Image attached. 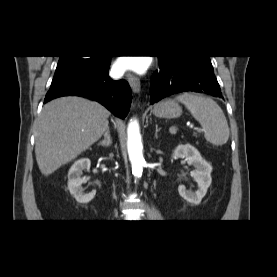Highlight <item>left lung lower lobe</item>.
I'll use <instances>...</instances> for the list:
<instances>
[{
  "label": "left lung lower lobe",
  "mask_w": 277,
  "mask_h": 277,
  "mask_svg": "<svg viewBox=\"0 0 277 277\" xmlns=\"http://www.w3.org/2000/svg\"><path fill=\"white\" fill-rule=\"evenodd\" d=\"M160 68L151 79L150 104L171 94L194 91L222 97L211 62L184 61L180 58L159 60Z\"/></svg>",
  "instance_id": "0a47b994"
}]
</instances>
